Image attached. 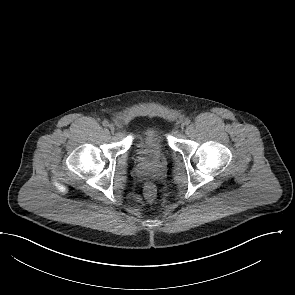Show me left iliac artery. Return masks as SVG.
Returning a JSON list of instances; mask_svg holds the SVG:
<instances>
[{
	"label": "left iliac artery",
	"instance_id": "left-iliac-artery-1",
	"mask_svg": "<svg viewBox=\"0 0 295 295\" xmlns=\"http://www.w3.org/2000/svg\"><path fill=\"white\" fill-rule=\"evenodd\" d=\"M190 123H191V120L188 119V118H186V119H185V124H186V125H189Z\"/></svg>",
	"mask_w": 295,
	"mask_h": 295
}]
</instances>
